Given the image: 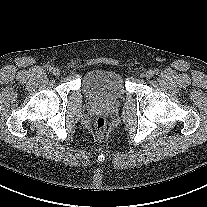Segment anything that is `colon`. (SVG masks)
Segmentation results:
<instances>
[{
    "instance_id": "1",
    "label": "colon",
    "mask_w": 207,
    "mask_h": 207,
    "mask_svg": "<svg viewBox=\"0 0 207 207\" xmlns=\"http://www.w3.org/2000/svg\"><path fill=\"white\" fill-rule=\"evenodd\" d=\"M95 130L98 134H102L104 133V131L106 130V120L103 117H99L95 120Z\"/></svg>"
}]
</instances>
